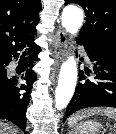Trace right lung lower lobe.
<instances>
[{
    "instance_id": "obj_1",
    "label": "right lung lower lobe",
    "mask_w": 116,
    "mask_h": 134,
    "mask_svg": "<svg viewBox=\"0 0 116 134\" xmlns=\"http://www.w3.org/2000/svg\"><path fill=\"white\" fill-rule=\"evenodd\" d=\"M32 49L31 61L37 60V55L40 52V47L35 43L30 45ZM19 53L14 55L15 58ZM12 59V58H11ZM11 59L7 62L11 61ZM27 85L22 84L17 86V80L10 78L8 82L0 84V118L7 119L16 124L22 131L26 129V109L30 101V93L32 84L36 79V74L30 67L24 77ZM25 90V92H20Z\"/></svg>"
}]
</instances>
